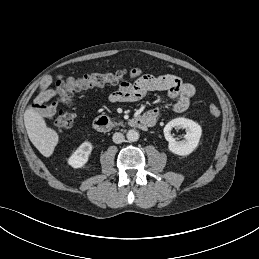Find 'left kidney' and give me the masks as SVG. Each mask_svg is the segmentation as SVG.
I'll return each instance as SVG.
<instances>
[{"instance_id": "1", "label": "left kidney", "mask_w": 259, "mask_h": 259, "mask_svg": "<svg viewBox=\"0 0 259 259\" xmlns=\"http://www.w3.org/2000/svg\"><path fill=\"white\" fill-rule=\"evenodd\" d=\"M183 128L186 130V135L184 136V141H176L172 135V128ZM202 135L201 126L193 120L186 119L183 117L175 118L168 122L164 127L165 139L169 142V150L180 156H187L192 153L198 146L199 140Z\"/></svg>"}]
</instances>
